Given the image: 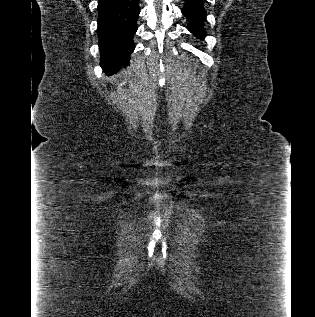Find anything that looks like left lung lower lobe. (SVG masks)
Masks as SVG:
<instances>
[{"mask_svg":"<svg viewBox=\"0 0 315 317\" xmlns=\"http://www.w3.org/2000/svg\"><path fill=\"white\" fill-rule=\"evenodd\" d=\"M204 1L185 0V6L182 8V13L189 22L187 26L188 30L199 38H203L206 35L203 28L206 21V11L203 7Z\"/></svg>","mask_w":315,"mask_h":317,"instance_id":"1","label":"left lung lower lobe"}]
</instances>
